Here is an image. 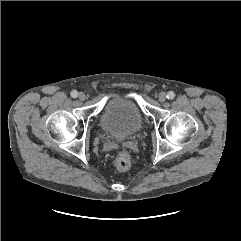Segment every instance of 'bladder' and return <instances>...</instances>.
<instances>
[{"label": "bladder", "instance_id": "31cf9c89", "mask_svg": "<svg viewBox=\"0 0 241 241\" xmlns=\"http://www.w3.org/2000/svg\"><path fill=\"white\" fill-rule=\"evenodd\" d=\"M99 123L107 135L124 140L140 131L143 119L139 107L132 99L113 97L104 103Z\"/></svg>", "mask_w": 241, "mask_h": 241}]
</instances>
